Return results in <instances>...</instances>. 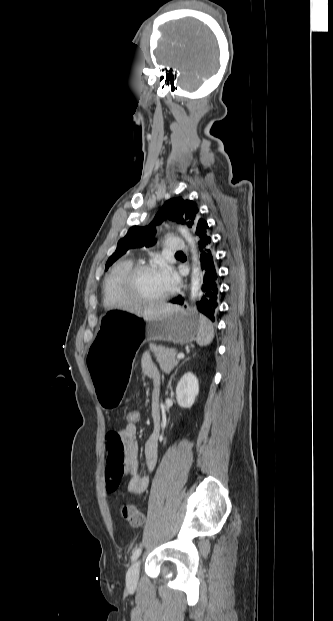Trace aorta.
<instances>
[{
  "label": "aorta",
  "mask_w": 333,
  "mask_h": 621,
  "mask_svg": "<svg viewBox=\"0 0 333 621\" xmlns=\"http://www.w3.org/2000/svg\"><path fill=\"white\" fill-rule=\"evenodd\" d=\"M179 231L181 233V235L185 238V240L188 242V244L191 246V252H192V278H191V300H195V298L198 296V292L200 289V280H201V270H200V264L197 261V250H196V246H195V241L192 238L191 234L189 233L188 229L184 226H180Z\"/></svg>",
  "instance_id": "1"
}]
</instances>
